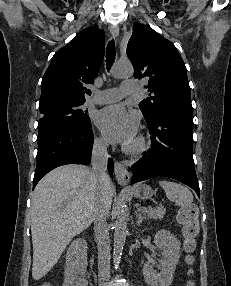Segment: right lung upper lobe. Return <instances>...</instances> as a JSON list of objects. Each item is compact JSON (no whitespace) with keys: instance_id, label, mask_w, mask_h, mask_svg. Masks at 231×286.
<instances>
[{"instance_id":"1","label":"right lung upper lobe","mask_w":231,"mask_h":286,"mask_svg":"<svg viewBox=\"0 0 231 286\" xmlns=\"http://www.w3.org/2000/svg\"><path fill=\"white\" fill-rule=\"evenodd\" d=\"M104 56V32L87 28L59 49L42 79L39 107L57 101H86Z\"/></svg>"}]
</instances>
